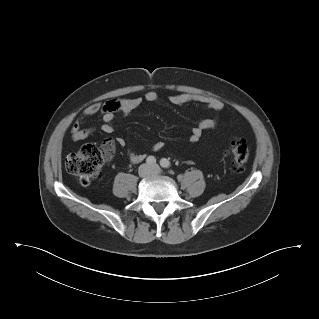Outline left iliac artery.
<instances>
[{"label":"left iliac artery","instance_id":"44dca946","mask_svg":"<svg viewBox=\"0 0 319 319\" xmlns=\"http://www.w3.org/2000/svg\"><path fill=\"white\" fill-rule=\"evenodd\" d=\"M160 165L162 167H164V168H169L170 167V162L167 159L163 158V159L160 160Z\"/></svg>","mask_w":319,"mask_h":319}]
</instances>
